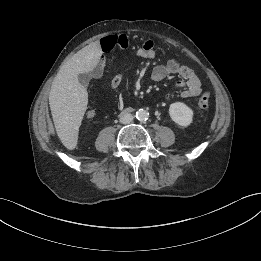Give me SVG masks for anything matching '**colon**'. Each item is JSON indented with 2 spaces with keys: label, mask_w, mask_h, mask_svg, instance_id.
I'll return each mask as SVG.
<instances>
[{
  "label": "colon",
  "mask_w": 261,
  "mask_h": 261,
  "mask_svg": "<svg viewBox=\"0 0 261 261\" xmlns=\"http://www.w3.org/2000/svg\"><path fill=\"white\" fill-rule=\"evenodd\" d=\"M209 100H210V92L209 91L203 92L198 102V107L201 113L207 110L209 106Z\"/></svg>",
  "instance_id": "obj_1"
}]
</instances>
